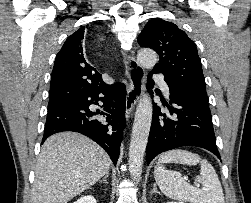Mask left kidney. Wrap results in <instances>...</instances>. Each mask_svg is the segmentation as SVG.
Returning a JSON list of instances; mask_svg holds the SVG:
<instances>
[{"instance_id": "5707ae66", "label": "left kidney", "mask_w": 251, "mask_h": 203, "mask_svg": "<svg viewBox=\"0 0 251 203\" xmlns=\"http://www.w3.org/2000/svg\"><path fill=\"white\" fill-rule=\"evenodd\" d=\"M167 203H180V202H167Z\"/></svg>"}]
</instances>
